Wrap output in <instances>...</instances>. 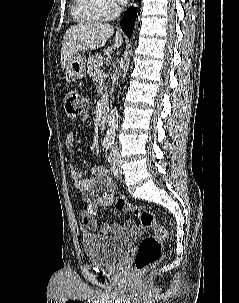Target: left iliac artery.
I'll return each mask as SVG.
<instances>
[{
  "mask_svg": "<svg viewBox=\"0 0 239 303\" xmlns=\"http://www.w3.org/2000/svg\"><path fill=\"white\" fill-rule=\"evenodd\" d=\"M109 162L112 163V164H115V160L113 158H110V157H109Z\"/></svg>",
  "mask_w": 239,
  "mask_h": 303,
  "instance_id": "left-iliac-artery-1",
  "label": "left iliac artery"
}]
</instances>
